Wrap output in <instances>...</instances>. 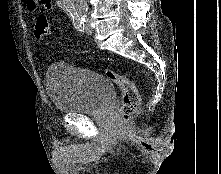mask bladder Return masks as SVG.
Here are the masks:
<instances>
[{
	"label": "bladder",
	"mask_w": 221,
	"mask_h": 174,
	"mask_svg": "<svg viewBox=\"0 0 221 174\" xmlns=\"http://www.w3.org/2000/svg\"><path fill=\"white\" fill-rule=\"evenodd\" d=\"M45 85L51 103L63 113L99 114L116 97L109 78L90 69L65 63H54L48 67Z\"/></svg>",
	"instance_id": "1"
}]
</instances>
